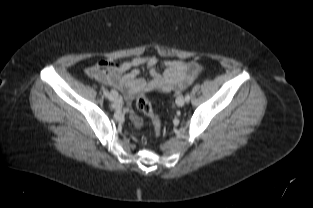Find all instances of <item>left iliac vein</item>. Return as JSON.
Returning <instances> with one entry per match:
<instances>
[{
    "label": "left iliac vein",
    "instance_id": "4c4485c4",
    "mask_svg": "<svg viewBox=\"0 0 313 208\" xmlns=\"http://www.w3.org/2000/svg\"><path fill=\"white\" fill-rule=\"evenodd\" d=\"M176 104L177 106L182 107L185 104V98L182 95L178 96L176 98Z\"/></svg>",
    "mask_w": 313,
    "mask_h": 208
}]
</instances>
